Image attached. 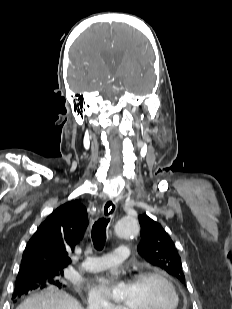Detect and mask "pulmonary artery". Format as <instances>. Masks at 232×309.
Segmentation results:
<instances>
[{"mask_svg":"<svg viewBox=\"0 0 232 309\" xmlns=\"http://www.w3.org/2000/svg\"><path fill=\"white\" fill-rule=\"evenodd\" d=\"M129 249L125 246L115 248L112 253L100 257H87L81 263V268L88 272H98L117 265L129 258Z\"/></svg>","mask_w":232,"mask_h":309,"instance_id":"pulmonary-artery-1","label":"pulmonary artery"}]
</instances>
